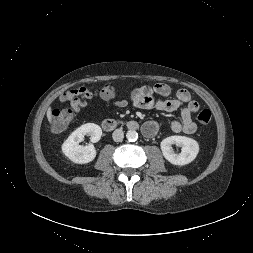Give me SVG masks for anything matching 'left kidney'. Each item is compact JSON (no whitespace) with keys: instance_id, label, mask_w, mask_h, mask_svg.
Instances as JSON below:
<instances>
[{"instance_id":"1","label":"left kidney","mask_w":253,"mask_h":253,"mask_svg":"<svg viewBox=\"0 0 253 253\" xmlns=\"http://www.w3.org/2000/svg\"><path fill=\"white\" fill-rule=\"evenodd\" d=\"M173 144L182 147L181 153L177 154L173 151ZM160 146L165 159L174 165L182 166L192 162L199 152L198 142L186 136L167 137L162 140Z\"/></svg>"}]
</instances>
